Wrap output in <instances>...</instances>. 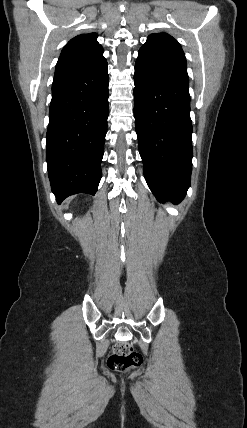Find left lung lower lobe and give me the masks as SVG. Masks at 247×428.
Here are the masks:
<instances>
[{"mask_svg": "<svg viewBox=\"0 0 247 428\" xmlns=\"http://www.w3.org/2000/svg\"><path fill=\"white\" fill-rule=\"evenodd\" d=\"M134 84L145 180L159 201L180 202L190 186L193 156L186 64L141 48Z\"/></svg>", "mask_w": 247, "mask_h": 428, "instance_id": "obj_1", "label": "left lung lower lobe"}]
</instances>
